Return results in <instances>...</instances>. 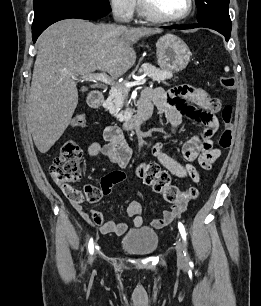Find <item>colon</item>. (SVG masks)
Wrapping results in <instances>:
<instances>
[{
    "mask_svg": "<svg viewBox=\"0 0 261 306\" xmlns=\"http://www.w3.org/2000/svg\"><path fill=\"white\" fill-rule=\"evenodd\" d=\"M220 84L224 89L232 90L235 87V80L231 76H222ZM232 115V107L229 105L225 106L222 110L224 127L218 139V145L221 149H228L233 142L234 128ZM72 125L76 128H85V116L82 114L76 115L72 120ZM81 157L82 150L79 145L72 140L66 141L62 145L59 155L54 158L50 166V175L54 182L63 187L76 201L94 203L105 195L101 186H90L81 192L69 185L80 180L82 176ZM135 174L145 184L151 186L155 192L161 193L165 201L169 203H178L181 200L192 201L199 195V190L196 187H191L187 191H181L176 186L171 185L170 175L153 162L140 163L135 169ZM107 179L110 182L118 183L125 179V174L114 171L108 175Z\"/></svg>",
    "mask_w": 261,
    "mask_h": 306,
    "instance_id": "1",
    "label": "colon"
}]
</instances>
